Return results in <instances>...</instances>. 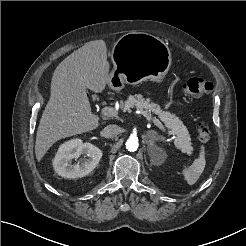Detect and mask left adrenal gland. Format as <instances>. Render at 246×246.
<instances>
[{"instance_id":"a2214340","label":"left adrenal gland","mask_w":246,"mask_h":246,"mask_svg":"<svg viewBox=\"0 0 246 246\" xmlns=\"http://www.w3.org/2000/svg\"><path fill=\"white\" fill-rule=\"evenodd\" d=\"M147 135L148 136L153 135V137H154L152 140H147L145 137V141L148 144V148L153 146L155 140L163 139V136L159 135L157 132L152 131V130H150Z\"/></svg>"}]
</instances>
